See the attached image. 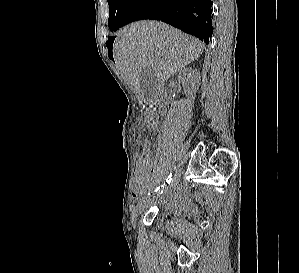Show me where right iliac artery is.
Masks as SVG:
<instances>
[{
  "label": "right iliac artery",
  "mask_w": 299,
  "mask_h": 273,
  "mask_svg": "<svg viewBox=\"0 0 299 273\" xmlns=\"http://www.w3.org/2000/svg\"><path fill=\"white\" fill-rule=\"evenodd\" d=\"M172 176H173V174L170 173L169 176H168V178L166 179V183H164V185L162 186L163 188H165L167 186V184H169L171 182ZM154 192L155 193L157 192V194H158L160 192L162 193V190L160 191V187H158ZM149 195H150V193H149Z\"/></svg>",
  "instance_id": "1"
}]
</instances>
